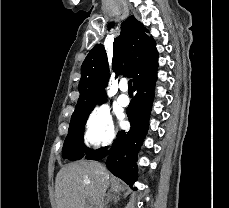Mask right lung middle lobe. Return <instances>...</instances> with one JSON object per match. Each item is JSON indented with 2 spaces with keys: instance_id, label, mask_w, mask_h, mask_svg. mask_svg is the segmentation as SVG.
<instances>
[{
  "instance_id": "right-lung-middle-lobe-1",
  "label": "right lung middle lobe",
  "mask_w": 229,
  "mask_h": 208,
  "mask_svg": "<svg viewBox=\"0 0 229 208\" xmlns=\"http://www.w3.org/2000/svg\"><path fill=\"white\" fill-rule=\"evenodd\" d=\"M88 116L71 120L62 150L63 158L70 160L81 159L84 156V151L85 153L90 151L83 143L84 127Z\"/></svg>"
}]
</instances>
